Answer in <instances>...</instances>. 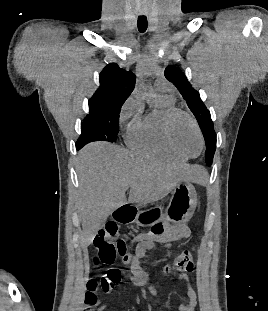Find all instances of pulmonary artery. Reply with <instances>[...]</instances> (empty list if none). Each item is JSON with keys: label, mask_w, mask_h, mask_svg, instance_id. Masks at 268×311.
<instances>
[{"label": "pulmonary artery", "mask_w": 268, "mask_h": 311, "mask_svg": "<svg viewBox=\"0 0 268 311\" xmlns=\"http://www.w3.org/2000/svg\"><path fill=\"white\" fill-rule=\"evenodd\" d=\"M155 89L159 92H163V93H171L172 92V88L171 86L165 82V81H156L155 82Z\"/></svg>", "instance_id": "pulmonary-artery-1"}]
</instances>
